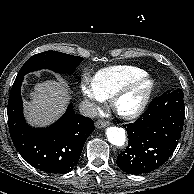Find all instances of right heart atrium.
<instances>
[{"mask_svg": "<svg viewBox=\"0 0 194 194\" xmlns=\"http://www.w3.org/2000/svg\"><path fill=\"white\" fill-rule=\"evenodd\" d=\"M79 91L87 105L88 112H92L102 104L103 99L96 91L91 79L83 76L79 83Z\"/></svg>", "mask_w": 194, "mask_h": 194, "instance_id": "obj_1", "label": "right heart atrium"}]
</instances>
